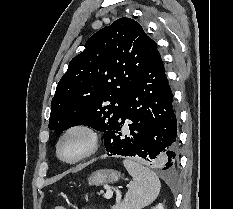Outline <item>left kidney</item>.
<instances>
[{
	"label": "left kidney",
	"instance_id": "5707ae66",
	"mask_svg": "<svg viewBox=\"0 0 233 209\" xmlns=\"http://www.w3.org/2000/svg\"><path fill=\"white\" fill-rule=\"evenodd\" d=\"M151 209H164L163 204H158L155 207L151 208Z\"/></svg>",
	"mask_w": 233,
	"mask_h": 209
}]
</instances>
